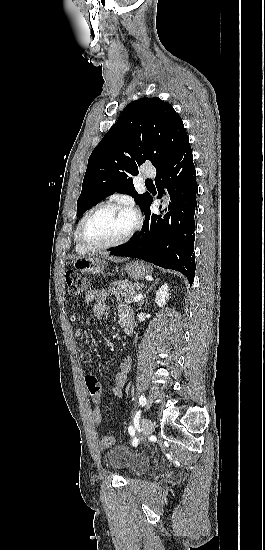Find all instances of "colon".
<instances>
[{
    "mask_svg": "<svg viewBox=\"0 0 265 550\" xmlns=\"http://www.w3.org/2000/svg\"><path fill=\"white\" fill-rule=\"evenodd\" d=\"M65 282L67 287V293L71 297H77L81 295L87 289L88 282L84 276L74 270H69L65 273ZM86 387L89 392V395L92 397L93 402L95 403V408L92 411V417L94 420L98 421L101 419V412L97 406L100 396L101 388L98 379L95 376L86 377ZM101 444L104 448H109L114 444V438L111 435H104Z\"/></svg>",
    "mask_w": 265,
    "mask_h": 550,
    "instance_id": "colon-1",
    "label": "colon"
}]
</instances>
